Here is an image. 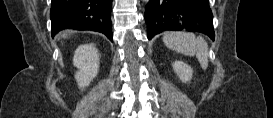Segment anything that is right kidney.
<instances>
[{
  "instance_id": "ca27d5eb",
  "label": "right kidney",
  "mask_w": 273,
  "mask_h": 118,
  "mask_svg": "<svg viewBox=\"0 0 273 118\" xmlns=\"http://www.w3.org/2000/svg\"><path fill=\"white\" fill-rule=\"evenodd\" d=\"M73 64L78 68L75 74L78 87L83 90L97 76L99 70V53L94 44L80 45L75 51Z\"/></svg>"
}]
</instances>
